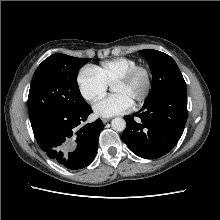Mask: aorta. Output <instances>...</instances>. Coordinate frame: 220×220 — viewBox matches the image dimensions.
<instances>
[{
  "label": "aorta",
  "mask_w": 220,
  "mask_h": 220,
  "mask_svg": "<svg viewBox=\"0 0 220 220\" xmlns=\"http://www.w3.org/2000/svg\"><path fill=\"white\" fill-rule=\"evenodd\" d=\"M111 126L115 131L121 132L124 131L126 127V122L123 118L117 117L112 119Z\"/></svg>",
  "instance_id": "762f6f07"
}]
</instances>
